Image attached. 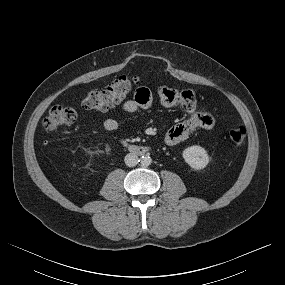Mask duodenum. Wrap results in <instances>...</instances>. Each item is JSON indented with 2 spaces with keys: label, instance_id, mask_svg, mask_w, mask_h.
I'll use <instances>...</instances> for the list:
<instances>
[{
  "label": "duodenum",
  "instance_id": "obj_1",
  "mask_svg": "<svg viewBox=\"0 0 285 285\" xmlns=\"http://www.w3.org/2000/svg\"><path fill=\"white\" fill-rule=\"evenodd\" d=\"M123 144L135 154L143 155L149 151V148L146 146H139V145L131 144L127 141H123Z\"/></svg>",
  "mask_w": 285,
  "mask_h": 285
}]
</instances>
